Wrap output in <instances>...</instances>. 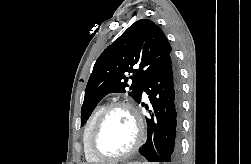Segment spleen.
<instances>
[{
	"label": "spleen",
	"mask_w": 251,
	"mask_h": 164,
	"mask_svg": "<svg viewBox=\"0 0 251 164\" xmlns=\"http://www.w3.org/2000/svg\"><path fill=\"white\" fill-rule=\"evenodd\" d=\"M143 164H150V163L144 162Z\"/></svg>",
	"instance_id": "obj_1"
}]
</instances>
